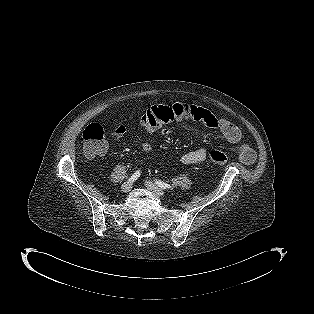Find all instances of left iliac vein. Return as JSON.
Returning <instances> with one entry per match:
<instances>
[{
    "label": "left iliac vein",
    "instance_id": "4c4485c4",
    "mask_svg": "<svg viewBox=\"0 0 314 314\" xmlns=\"http://www.w3.org/2000/svg\"><path fill=\"white\" fill-rule=\"evenodd\" d=\"M146 187L159 197H164L165 192L151 181H145Z\"/></svg>",
    "mask_w": 314,
    "mask_h": 314
}]
</instances>
